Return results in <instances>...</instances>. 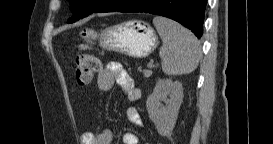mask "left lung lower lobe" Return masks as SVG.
Segmentation results:
<instances>
[{
  "mask_svg": "<svg viewBox=\"0 0 273 144\" xmlns=\"http://www.w3.org/2000/svg\"><path fill=\"white\" fill-rule=\"evenodd\" d=\"M206 4L207 0H98L91 14L118 11L161 15L181 23L201 38ZM76 21L69 19L68 23Z\"/></svg>",
  "mask_w": 273,
  "mask_h": 144,
  "instance_id": "obj_1",
  "label": "left lung lower lobe"
}]
</instances>
